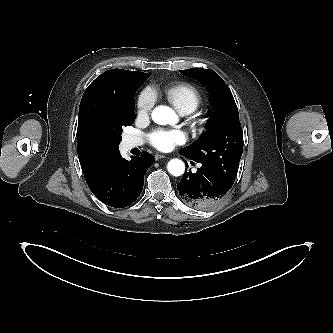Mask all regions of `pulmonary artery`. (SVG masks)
<instances>
[{
	"label": "pulmonary artery",
	"mask_w": 333,
	"mask_h": 333,
	"mask_svg": "<svg viewBox=\"0 0 333 333\" xmlns=\"http://www.w3.org/2000/svg\"><path fill=\"white\" fill-rule=\"evenodd\" d=\"M183 114H186V113H183ZM125 143L128 148H135V147L141 146L143 141L141 138H139L137 136H129L126 138Z\"/></svg>",
	"instance_id": "pulmonary-artery-1"
}]
</instances>
